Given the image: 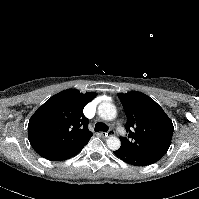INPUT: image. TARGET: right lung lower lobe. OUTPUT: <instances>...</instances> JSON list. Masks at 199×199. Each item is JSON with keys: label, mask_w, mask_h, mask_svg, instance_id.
<instances>
[{"label": "right lung lower lobe", "mask_w": 199, "mask_h": 199, "mask_svg": "<svg viewBox=\"0 0 199 199\" xmlns=\"http://www.w3.org/2000/svg\"><path fill=\"white\" fill-rule=\"evenodd\" d=\"M87 143L88 142L83 143V144L77 146L76 148L66 152V153H63V154H60V155H57V156L46 157V159L53 160V161L66 160V159L78 154Z\"/></svg>", "instance_id": "98d812e1"}]
</instances>
